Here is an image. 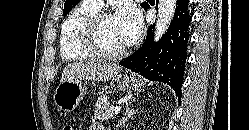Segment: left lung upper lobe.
Instances as JSON below:
<instances>
[{
  "label": "left lung upper lobe",
  "mask_w": 249,
  "mask_h": 130,
  "mask_svg": "<svg viewBox=\"0 0 249 130\" xmlns=\"http://www.w3.org/2000/svg\"><path fill=\"white\" fill-rule=\"evenodd\" d=\"M80 0H66L65 1V4H64V10H63V16L68 14L73 7H75L78 3H79ZM141 6L147 10L148 8V3L144 2L141 4Z\"/></svg>",
  "instance_id": "left-lung-upper-lobe-1"
}]
</instances>
